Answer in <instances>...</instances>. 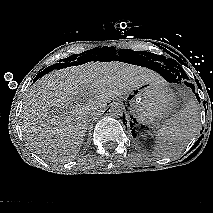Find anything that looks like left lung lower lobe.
Masks as SVG:
<instances>
[{
    "label": "left lung lower lobe",
    "mask_w": 213,
    "mask_h": 213,
    "mask_svg": "<svg viewBox=\"0 0 213 213\" xmlns=\"http://www.w3.org/2000/svg\"><path fill=\"white\" fill-rule=\"evenodd\" d=\"M168 76L170 77L169 78V81H171V82H174V83H179V82H181V80H179V79H177L172 73H169V71H168ZM164 76V75H163ZM165 77V76H164ZM166 78V77H165ZM185 84L188 86V87H190L191 89H192V91L195 93V86L193 85V84H191V83H188V82H185ZM196 97H197V100L200 102V99H199V97L196 95ZM122 118V117H121ZM123 118H124V116H123Z\"/></svg>",
    "instance_id": "1"
}]
</instances>
